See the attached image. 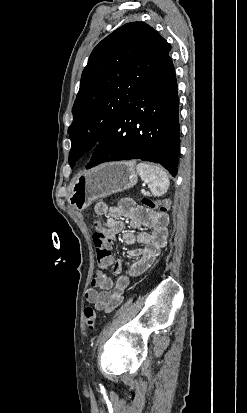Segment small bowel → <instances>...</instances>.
Returning a JSON list of instances; mask_svg holds the SVG:
<instances>
[{
  "label": "small bowel",
  "instance_id": "small-bowel-1",
  "mask_svg": "<svg viewBox=\"0 0 247 413\" xmlns=\"http://www.w3.org/2000/svg\"><path fill=\"white\" fill-rule=\"evenodd\" d=\"M94 211L97 215H109L104 230L107 238L122 233V240L126 245H143L142 249L129 252L133 262L127 272H124L123 261L117 259L112 266L113 272L117 275L116 280L108 277L105 272L104 277H94L91 288L86 291V300L93 304L96 310L109 313L122 303L123 294L130 285V277L143 276L166 245L169 219L165 214L136 207L130 201L127 205L122 201L111 207L105 202H98ZM126 226L132 229L149 228L151 232L140 231L135 235L132 231L126 230Z\"/></svg>",
  "mask_w": 247,
  "mask_h": 413
}]
</instances>
